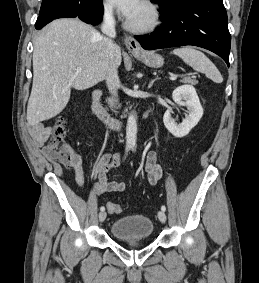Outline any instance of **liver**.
I'll use <instances>...</instances> for the list:
<instances>
[{"mask_svg": "<svg viewBox=\"0 0 259 283\" xmlns=\"http://www.w3.org/2000/svg\"><path fill=\"white\" fill-rule=\"evenodd\" d=\"M114 59L118 68L122 57L116 44ZM77 67L82 70L77 72ZM105 76L103 36L79 19L51 22L34 41L28 124L33 126L57 116L66 107L72 88H91Z\"/></svg>", "mask_w": 259, "mask_h": 283, "instance_id": "6515ba94", "label": "liver"}]
</instances>
